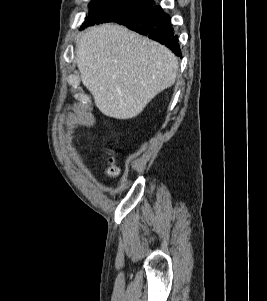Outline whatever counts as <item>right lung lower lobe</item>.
Returning a JSON list of instances; mask_svg holds the SVG:
<instances>
[{"mask_svg": "<svg viewBox=\"0 0 267 301\" xmlns=\"http://www.w3.org/2000/svg\"><path fill=\"white\" fill-rule=\"evenodd\" d=\"M115 22L147 35L170 48L177 56H181L178 38L174 33L170 17L160 6H150L139 12L125 15Z\"/></svg>", "mask_w": 267, "mask_h": 301, "instance_id": "right-lung-lower-lobe-1", "label": "right lung lower lobe"}]
</instances>
